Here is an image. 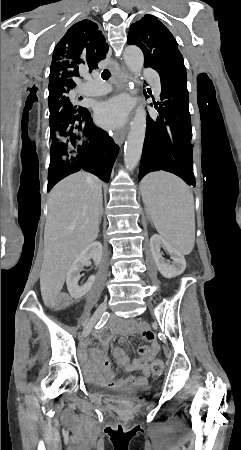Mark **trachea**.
<instances>
[{
	"label": "trachea",
	"mask_w": 241,
	"mask_h": 450,
	"mask_svg": "<svg viewBox=\"0 0 241 450\" xmlns=\"http://www.w3.org/2000/svg\"><path fill=\"white\" fill-rule=\"evenodd\" d=\"M101 77L103 78V80H108L111 77V73L109 70H103Z\"/></svg>",
	"instance_id": "1"
}]
</instances>
